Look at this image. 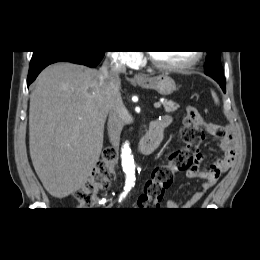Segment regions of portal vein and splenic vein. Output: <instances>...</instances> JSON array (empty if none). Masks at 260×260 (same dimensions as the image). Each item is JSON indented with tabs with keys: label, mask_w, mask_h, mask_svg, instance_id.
<instances>
[{
	"label": "portal vein and splenic vein",
	"mask_w": 260,
	"mask_h": 260,
	"mask_svg": "<svg viewBox=\"0 0 260 260\" xmlns=\"http://www.w3.org/2000/svg\"><path fill=\"white\" fill-rule=\"evenodd\" d=\"M161 104L159 102L154 103L155 108H160Z\"/></svg>",
	"instance_id": "18ae733b"
}]
</instances>
